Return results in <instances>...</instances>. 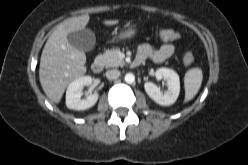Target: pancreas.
<instances>
[{
    "instance_id": "cf45deb5",
    "label": "pancreas",
    "mask_w": 248,
    "mask_h": 165,
    "mask_svg": "<svg viewBox=\"0 0 248 165\" xmlns=\"http://www.w3.org/2000/svg\"><path fill=\"white\" fill-rule=\"evenodd\" d=\"M119 53V49L113 48L100 55L104 66L106 68L124 66L125 62L119 57Z\"/></svg>"
}]
</instances>
